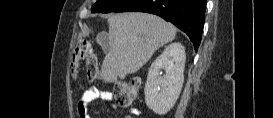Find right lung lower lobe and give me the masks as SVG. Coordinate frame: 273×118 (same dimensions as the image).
<instances>
[{
  "label": "right lung lower lobe",
  "instance_id": "1",
  "mask_svg": "<svg viewBox=\"0 0 273 118\" xmlns=\"http://www.w3.org/2000/svg\"><path fill=\"white\" fill-rule=\"evenodd\" d=\"M206 0H127L114 12H146L170 21L198 49L205 21Z\"/></svg>",
  "mask_w": 273,
  "mask_h": 118
}]
</instances>
